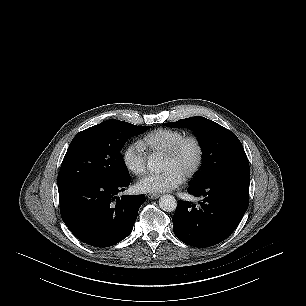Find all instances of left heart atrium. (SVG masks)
Wrapping results in <instances>:
<instances>
[{"label": "left heart atrium", "mask_w": 306, "mask_h": 306, "mask_svg": "<svg viewBox=\"0 0 306 306\" xmlns=\"http://www.w3.org/2000/svg\"><path fill=\"white\" fill-rule=\"evenodd\" d=\"M184 177L173 169L161 173L149 174L137 182V189L144 193H161L178 187Z\"/></svg>", "instance_id": "39dd6f15"}]
</instances>
